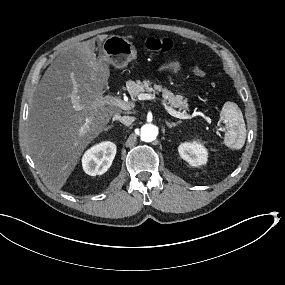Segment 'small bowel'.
I'll list each match as a JSON object with an SVG mask.
<instances>
[{"label":"small bowel","mask_w":285,"mask_h":285,"mask_svg":"<svg viewBox=\"0 0 285 285\" xmlns=\"http://www.w3.org/2000/svg\"><path fill=\"white\" fill-rule=\"evenodd\" d=\"M181 68H182V65L179 62H171L165 66V69H169V70H172L174 72L180 71Z\"/></svg>","instance_id":"1"}]
</instances>
